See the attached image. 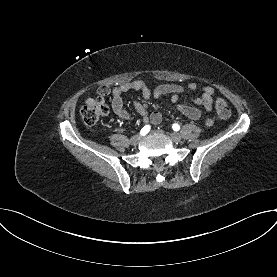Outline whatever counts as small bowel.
<instances>
[{
  "label": "small bowel",
  "instance_id": "obj_1",
  "mask_svg": "<svg viewBox=\"0 0 277 277\" xmlns=\"http://www.w3.org/2000/svg\"><path fill=\"white\" fill-rule=\"evenodd\" d=\"M139 91L145 100H163L166 96L170 95L171 105L182 115L192 119L197 120L201 117V111L193 106H188L179 103V95L184 93L186 90L190 91H201V96L192 98V101L196 105L203 106L206 111L212 110L213 99L215 95V90L211 86L199 87L196 83H189L186 87L179 84H162L154 89L149 88L143 81L135 80L132 82L122 83L117 87L110 90L106 86H101L97 89L96 95L105 98L109 94L112 97V110L121 119L131 121L132 116L124 108V102L122 95L128 91ZM134 108L138 114H140L145 123H151L153 125H158L162 121V115L158 111H153L148 113L145 106L139 102H134ZM207 126L212 125V120L208 119L206 121Z\"/></svg>",
  "mask_w": 277,
  "mask_h": 277
}]
</instances>
